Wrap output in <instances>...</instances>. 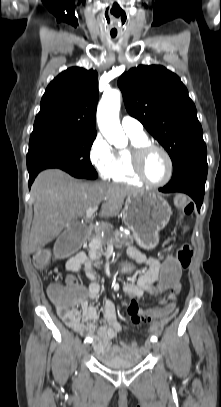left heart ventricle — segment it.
Returning <instances> with one entry per match:
<instances>
[{
	"label": "left heart ventricle",
	"instance_id": "left-heart-ventricle-1",
	"mask_svg": "<svg viewBox=\"0 0 221 407\" xmlns=\"http://www.w3.org/2000/svg\"><path fill=\"white\" fill-rule=\"evenodd\" d=\"M144 170L151 181H163L167 177L169 171L167 158L160 151H152L146 157Z\"/></svg>",
	"mask_w": 221,
	"mask_h": 407
}]
</instances>
